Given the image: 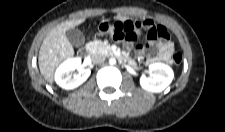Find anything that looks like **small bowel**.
<instances>
[{"mask_svg": "<svg viewBox=\"0 0 225 132\" xmlns=\"http://www.w3.org/2000/svg\"><path fill=\"white\" fill-rule=\"evenodd\" d=\"M114 24L119 25L124 31H138V36L142 28H146L148 30L155 28L153 21L149 19L143 21H132L128 18H122L119 21H116ZM131 47L132 44L128 43L127 48L129 49ZM137 51L138 53L145 55L148 59V62L150 63L158 61L173 63L172 55L174 52V45L169 39L162 40V42L159 43L158 46H156L155 41L149 40L147 46L138 45ZM130 64L135 65L134 60H130Z\"/></svg>", "mask_w": 225, "mask_h": 132, "instance_id": "small-bowel-1", "label": "small bowel"}]
</instances>
